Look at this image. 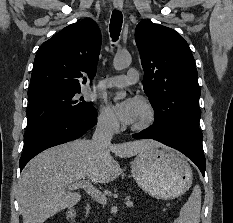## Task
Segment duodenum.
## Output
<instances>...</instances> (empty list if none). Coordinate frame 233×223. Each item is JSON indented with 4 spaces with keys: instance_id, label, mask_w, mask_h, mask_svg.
Masks as SVG:
<instances>
[{
    "instance_id": "duodenum-1",
    "label": "duodenum",
    "mask_w": 233,
    "mask_h": 223,
    "mask_svg": "<svg viewBox=\"0 0 233 223\" xmlns=\"http://www.w3.org/2000/svg\"><path fill=\"white\" fill-rule=\"evenodd\" d=\"M66 219L71 223H75L77 221V212L74 208H69L67 210Z\"/></svg>"
}]
</instances>
